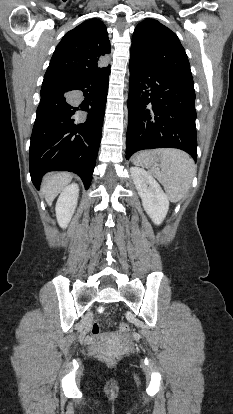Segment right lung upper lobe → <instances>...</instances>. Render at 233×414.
<instances>
[{
    "label": "right lung upper lobe",
    "mask_w": 233,
    "mask_h": 414,
    "mask_svg": "<svg viewBox=\"0 0 233 414\" xmlns=\"http://www.w3.org/2000/svg\"><path fill=\"white\" fill-rule=\"evenodd\" d=\"M110 50L103 22L86 20L62 38L44 77L68 80L101 74L110 68L106 64Z\"/></svg>",
    "instance_id": "obj_1"
}]
</instances>
